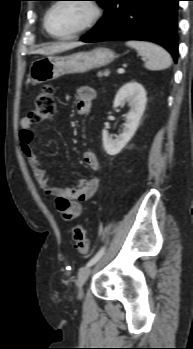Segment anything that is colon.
Returning <instances> with one entry per match:
<instances>
[{"label":"colon","instance_id":"5ec220e1","mask_svg":"<svg viewBox=\"0 0 193 349\" xmlns=\"http://www.w3.org/2000/svg\"><path fill=\"white\" fill-rule=\"evenodd\" d=\"M56 113V102L54 90L51 86H46L36 96L33 107L28 118L32 122H42L52 120ZM75 248L82 255H87L89 252V241L87 232L82 225H76L72 231Z\"/></svg>","mask_w":193,"mask_h":349}]
</instances>
